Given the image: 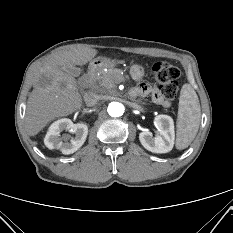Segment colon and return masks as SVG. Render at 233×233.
<instances>
[{
  "instance_id": "5ec220e1",
  "label": "colon",
  "mask_w": 233,
  "mask_h": 233,
  "mask_svg": "<svg viewBox=\"0 0 233 233\" xmlns=\"http://www.w3.org/2000/svg\"><path fill=\"white\" fill-rule=\"evenodd\" d=\"M153 73L155 79L162 84V95L166 99H174L178 92L179 69L168 62L162 61L154 64Z\"/></svg>"
}]
</instances>
